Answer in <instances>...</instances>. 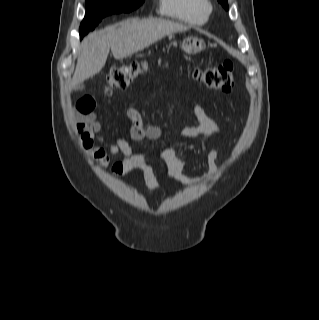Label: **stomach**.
Returning <instances> with one entry per match:
<instances>
[{"instance_id": "0dacf381", "label": "stomach", "mask_w": 319, "mask_h": 320, "mask_svg": "<svg viewBox=\"0 0 319 320\" xmlns=\"http://www.w3.org/2000/svg\"><path fill=\"white\" fill-rule=\"evenodd\" d=\"M182 49L187 54H197L204 49V42L197 37H187L182 42Z\"/></svg>"}]
</instances>
